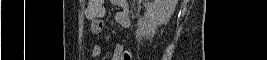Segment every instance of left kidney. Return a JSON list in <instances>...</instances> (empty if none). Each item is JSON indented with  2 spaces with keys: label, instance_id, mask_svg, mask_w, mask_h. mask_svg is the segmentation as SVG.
<instances>
[{
  "label": "left kidney",
  "instance_id": "obj_1",
  "mask_svg": "<svg viewBox=\"0 0 267 60\" xmlns=\"http://www.w3.org/2000/svg\"><path fill=\"white\" fill-rule=\"evenodd\" d=\"M177 0H154L146 5L145 17L155 27L166 24L175 11Z\"/></svg>",
  "mask_w": 267,
  "mask_h": 60
}]
</instances>
